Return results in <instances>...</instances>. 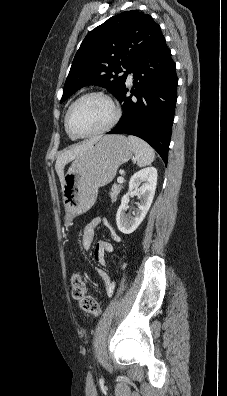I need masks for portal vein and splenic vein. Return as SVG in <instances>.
<instances>
[{
	"label": "portal vein and splenic vein",
	"instance_id": "1",
	"mask_svg": "<svg viewBox=\"0 0 227 396\" xmlns=\"http://www.w3.org/2000/svg\"><path fill=\"white\" fill-rule=\"evenodd\" d=\"M117 182H118V183H123V182H124V178H123L122 176H119V177L117 178Z\"/></svg>",
	"mask_w": 227,
	"mask_h": 396
}]
</instances>
